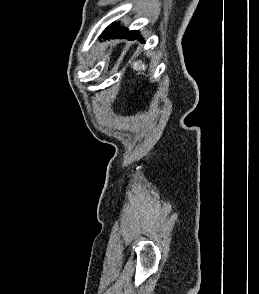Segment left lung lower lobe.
I'll return each instance as SVG.
<instances>
[{
  "mask_svg": "<svg viewBox=\"0 0 259 294\" xmlns=\"http://www.w3.org/2000/svg\"><path fill=\"white\" fill-rule=\"evenodd\" d=\"M103 36L106 37H120L127 38L128 40H133L135 38L140 39V34L138 31H128L124 27H119L118 24L112 23L103 32Z\"/></svg>",
  "mask_w": 259,
  "mask_h": 294,
  "instance_id": "0a47b994",
  "label": "left lung lower lobe"
}]
</instances>
